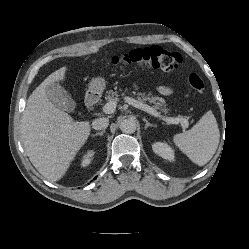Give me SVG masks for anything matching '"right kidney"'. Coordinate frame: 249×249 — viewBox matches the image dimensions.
<instances>
[{
	"label": "right kidney",
	"instance_id": "ca27d5eb",
	"mask_svg": "<svg viewBox=\"0 0 249 249\" xmlns=\"http://www.w3.org/2000/svg\"><path fill=\"white\" fill-rule=\"evenodd\" d=\"M94 155V152L93 151H89L87 152L84 156H83V159H82V162H81V165L83 167L85 166H88L92 160V156Z\"/></svg>",
	"mask_w": 249,
	"mask_h": 249
}]
</instances>
